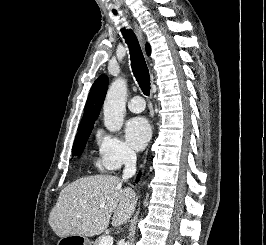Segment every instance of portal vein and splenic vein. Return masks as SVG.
<instances>
[{
	"label": "portal vein and splenic vein",
	"instance_id": "obj_1",
	"mask_svg": "<svg viewBox=\"0 0 266 245\" xmlns=\"http://www.w3.org/2000/svg\"><path fill=\"white\" fill-rule=\"evenodd\" d=\"M100 207L104 209V205H100ZM113 241H114L113 237H101L99 245H113Z\"/></svg>",
	"mask_w": 266,
	"mask_h": 245
}]
</instances>
